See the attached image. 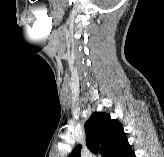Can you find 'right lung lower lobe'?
Listing matches in <instances>:
<instances>
[{
    "mask_svg": "<svg viewBox=\"0 0 164 157\" xmlns=\"http://www.w3.org/2000/svg\"><path fill=\"white\" fill-rule=\"evenodd\" d=\"M116 157H136L135 153L132 151L130 144L126 141L120 151L117 153Z\"/></svg>",
    "mask_w": 164,
    "mask_h": 157,
    "instance_id": "98d812e1",
    "label": "right lung lower lobe"
}]
</instances>
